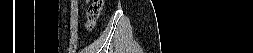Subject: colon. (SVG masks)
I'll return each mask as SVG.
<instances>
[{
    "label": "colon",
    "mask_w": 253,
    "mask_h": 53,
    "mask_svg": "<svg viewBox=\"0 0 253 53\" xmlns=\"http://www.w3.org/2000/svg\"><path fill=\"white\" fill-rule=\"evenodd\" d=\"M103 0H92L90 5L87 8L86 15V23L85 28L87 31H91L95 25L96 20L99 18L102 7Z\"/></svg>",
    "instance_id": "1"
}]
</instances>
